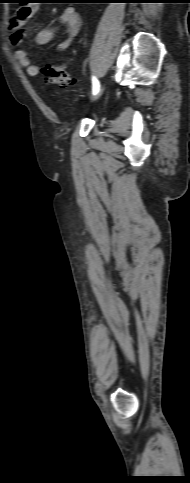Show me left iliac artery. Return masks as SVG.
<instances>
[{
  "mask_svg": "<svg viewBox=\"0 0 190 483\" xmlns=\"http://www.w3.org/2000/svg\"><path fill=\"white\" fill-rule=\"evenodd\" d=\"M99 89H100V84H99V81L97 80L96 77H92V92H93V95H96L98 92H99Z\"/></svg>",
  "mask_w": 190,
  "mask_h": 483,
  "instance_id": "obj_1",
  "label": "left iliac artery"
}]
</instances>
